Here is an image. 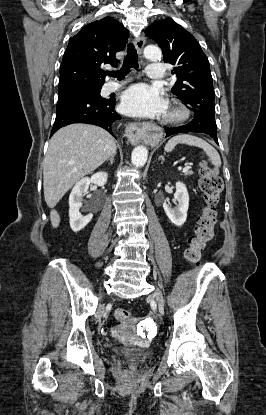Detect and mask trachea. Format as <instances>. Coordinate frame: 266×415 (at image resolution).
I'll use <instances>...</instances> for the list:
<instances>
[{
	"mask_svg": "<svg viewBox=\"0 0 266 415\" xmlns=\"http://www.w3.org/2000/svg\"><path fill=\"white\" fill-rule=\"evenodd\" d=\"M130 68H139L137 51L132 43L128 44L127 55L124 59L122 68L119 71L109 72L108 75L122 79L130 70Z\"/></svg>",
	"mask_w": 266,
	"mask_h": 415,
	"instance_id": "3493384b",
	"label": "trachea"
}]
</instances>
